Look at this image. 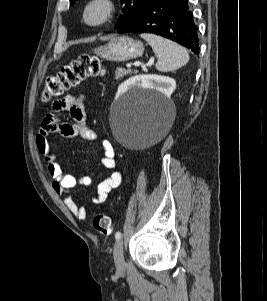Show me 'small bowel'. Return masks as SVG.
Segmentation results:
<instances>
[{"label": "small bowel", "instance_id": "small-bowel-1", "mask_svg": "<svg viewBox=\"0 0 267 301\" xmlns=\"http://www.w3.org/2000/svg\"><path fill=\"white\" fill-rule=\"evenodd\" d=\"M85 95L70 94L53 103L52 108L45 114L39 133L36 137L37 148L43 155L47 165L48 174L52 180V187L58 195H64V203L69 211L79 220L87 219V211L78 205L69 195V191L76 186L87 187L92 184V178L88 175L75 177L63 173L57 161V154L51 147L48 136L60 134L66 138L80 136L89 141L97 140L96 133L89 127L84 110ZM66 112L68 120L60 121V112ZM103 153L100 161L104 168L114 170L116 167L114 148L110 141L103 140ZM123 180L122 172L115 170L97 186L96 195L93 197L95 204L103 203L108 194L119 187Z\"/></svg>", "mask_w": 267, "mask_h": 301}]
</instances>
